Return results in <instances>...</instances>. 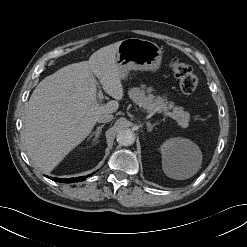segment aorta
<instances>
[{
    "mask_svg": "<svg viewBox=\"0 0 247 247\" xmlns=\"http://www.w3.org/2000/svg\"><path fill=\"white\" fill-rule=\"evenodd\" d=\"M135 141V135L130 129L120 130L117 134V142L121 146H130Z\"/></svg>",
    "mask_w": 247,
    "mask_h": 247,
    "instance_id": "aorta-1",
    "label": "aorta"
}]
</instances>
